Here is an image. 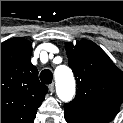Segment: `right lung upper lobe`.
<instances>
[{
  "instance_id": "right-lung-upper-lobe-1",
  "label": "right lung upper lobe",
  "mask_w": 123,
  "mask_h": 123,
  "mask_svg": "<svg viewBox=\"0 0 123 123\" xmlns=\"http://www.w3.org/2000/svg\"><path fill=\"white\" fill-rule=\"evenodd\" d=\"M31 53V42L21 37L1 44V123H33L45 98Z\"/></svg>"
}]
</instances>
